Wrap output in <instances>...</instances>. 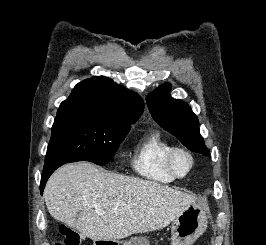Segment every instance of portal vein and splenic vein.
I'll list each match as a JSON object with an SVG mask.
<instances>
[{
    "mask_svg": "<svg viewBox=\"0 0 266 245\" xmlns=\"http://www.w3.org/2000/svg\"><path fill=\"white\" fill-rule=\"evenodd\" d=\"M93 207H95L96 211H98V213H103L102 209H98L97 205H93Z\"/></svg>",
    "mask_w": 266,
    "mask_h": 245,
    "instance_id": "1",
    "label": "portal vein and splenic vein"
}]
</instances>
